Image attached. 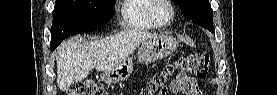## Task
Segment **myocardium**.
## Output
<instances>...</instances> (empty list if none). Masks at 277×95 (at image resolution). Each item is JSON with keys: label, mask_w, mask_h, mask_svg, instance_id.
Listing matches in <instances>:
<instances>
[{"label": "myocardium", "mask_w": 277, "mask_h": 95, "mask_svg": "<svg viewBox=\"0 0 277 95\" xmlns=\"http://www.w3.org/2000/svg\"><path fill=\"white\" fill-rule=\"evenodd\" d=\"M158 5H164L169 9V13H168L167 17L165 18V20L161 21V20L157 19L156 16L154 15V8ZM174 15H175V9L172 6L171 1H169V0H154L153 4L148 9L149 19L157 26H167L173 20Z\"/></svg>", "instance_id": "myocardium-1"}]
</instances>
